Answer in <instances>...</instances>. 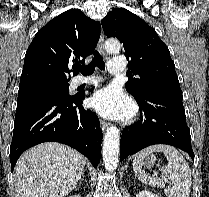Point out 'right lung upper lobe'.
<instances>
[{"label":"right lung upper lobe","mask_w":209,"mask_h":197,"mask_svg":"<svg viewBox=\"0 0 209 197\" xmlns=\"http://www.w3.org/2000/svg\"><path fill=\"white\" fill-rule=\"evenodd\" d=\"M99 37L100 23L86 17L81 10H68L55 17L37 32L29 45L19 88L68 83V65L83 64ZM76 73L73 70V75Z\"/></svg>","instance_id":"1"}]
</instances>
